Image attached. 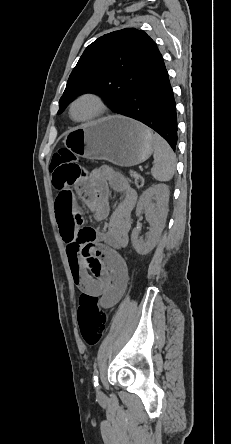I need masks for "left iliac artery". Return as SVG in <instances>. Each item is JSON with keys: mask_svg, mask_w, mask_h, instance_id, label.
<instances>
[{"mask_svg": "<svg viewBox=\"0 0 231 444\" xmlns=\"http://www.w3.org/2000/svg\"><path fill=\"white\" fill-rule=\"evenodd\" d=\"M93 385H94L95 388L98 389L99 383H98V370H97V368H95L94 371H93Z\"/></svg>", "mask_w": 231, "mask_h": 444, "instance_id": "1", "label": "left iliac artery"}]
</instances>
